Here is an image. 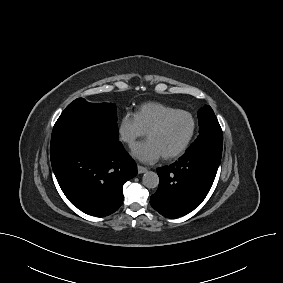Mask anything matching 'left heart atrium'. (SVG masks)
I'll return each mask as SVG.
<instances>
[{
	"instance_id": "left-heart-atrium-1",
	"label": "left heart atrium",
	"mask_w": 283,
	"mask_h": 283,
	"mask_svg": "<svg viewBox=\"0 0 283 283\" xmlns=\"http://www.w3.org/2000/svg\"><path fill=\"white\" fill-rule=\"evenodd\" d=\"M131 154L137 160L148 164L155 163L161 156H163L159 148L151 140H147L134 146Z\"/></svg>"
}]
</instances>
